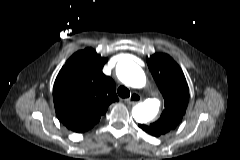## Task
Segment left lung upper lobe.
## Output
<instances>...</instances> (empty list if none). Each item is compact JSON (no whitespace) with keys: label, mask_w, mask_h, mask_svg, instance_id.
Wrapping results in <instances>:
<instances>
[{"label":"left lung upper lobe","mask_w":240,"mask_h":160,"mask_svg":"<svg viewBox=\"0 0 240 160\" xmlns=\"http://www.w3.org/2000/svg\"><path fill=\"white\" fill-rule=\"evenodd\" d=\"M147 64L165 99L160 118L147 126L163 135L182 120L189 102V88L181 68L169 55L156 53L147 58Z\"/></svg>","instance_id":"1"}]
</instances>
